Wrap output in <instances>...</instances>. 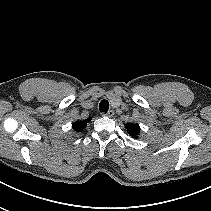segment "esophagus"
Instances as JSON below:
<instances>
[{"instance_id":"obj_1","label":"esophagus","mask_w":211,"mask_h":211,"mask_svg":"<svg viewBox=\"0 0 211 211\" xmlns=\"http://www.w3.org/2000/svg\"><path fill=\"white\" fill-rule=\"evenodd\" d=\"M113 115H114L113 110H109L108 112L102 114V116L104 117H112Z\"/></svg>"}]
</instances>
